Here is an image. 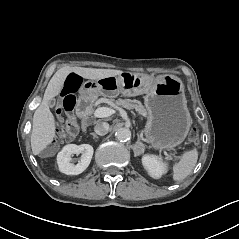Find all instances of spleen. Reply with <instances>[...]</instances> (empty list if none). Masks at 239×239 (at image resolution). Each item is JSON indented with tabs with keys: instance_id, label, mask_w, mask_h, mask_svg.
Listing matches in <instances>:
<instances>
[{
	"instance_id": "1",
	"label": "spleen",
	"mask_w": 239,
	"mask_h": 239,
	"mask_svg": "<svg viewBox=\"0 0 239 239\" xmlns=\"http://www.w3.org/2000/svg\"><path fill=\"white\" fill-rule=\"evenodd\" d=\"M197 159V150L185 152L182 155L181 160L173 166V179L175 181L184 180L192 172L197 163Z\"/></svg>"
}]
</instances>
